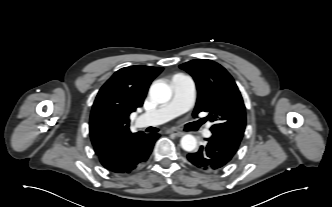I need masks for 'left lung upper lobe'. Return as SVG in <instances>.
Listing matches in <instances>:
<instances>
[{
  "mask_svg": "<svg viewBox=\"0 0 332 207\" xmlns=\"http://www.w3.org/2000/svg\"><path fill=\"white\" fill-rule=\"evenodd\" d=\"M195 80L198 98L193 116L208 112L214 124L213 134L242 140L246 114L241 93L232 76L218 63L207 59H195L180 65Z\"/></svg>",
  "mask_w": 332,
  "mask_h": 207,
  "instance_id": "left-lung-upper-lobe-1",
  "label": "left lung upper lobe"
}]
</instances>
